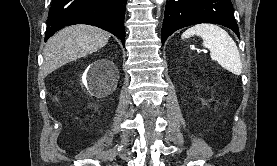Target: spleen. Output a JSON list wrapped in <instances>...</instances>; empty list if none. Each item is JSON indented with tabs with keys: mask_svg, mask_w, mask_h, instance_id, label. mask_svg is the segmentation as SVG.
<instances>
[{
	"mask_svg": "<svg viewBox=\"0 0 277 166\" xmlns=\"http://www.w3.org/2000/svg\"><path fill=\"white\" fill-rule=\"evenodd\" d=\"M194 35L202 38L203 46L210 50L212 60L235 75L241 74L242 64L238 48L224 29L214 24L202 23L188 28L181 38L184 40Z\"/></svg>",
	"mask_w": 277,
	"mask_h": 166,
	"instance_id": "1",
	"label": "spleen"
}]
</instances>
